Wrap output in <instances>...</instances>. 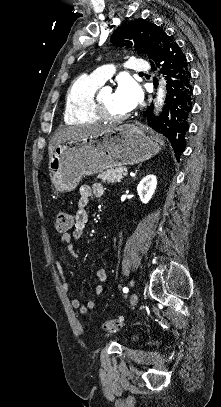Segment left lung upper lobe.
I'll use <instances>...</instances> for the list:
<instances>
[{
	"label": "left lung upper lobe",
	"mask_w": 221,
	"mask_h": 407,
	"mask_svg": "<svg viewBox=\"0 0 221 407\" xmlns=\"http://www.w3.org/2000/svg\"><path fill=\"white\" fill-rule=\"evenodd\" d=\"M165 36L168 35L157 25L143 19H135L118 27L111 41L116 46L125 44L130 47L134 43L137 51L148 54L150 59L157 61Z\"/></svg>",
	"instance_id": "left-lung-upper-lobe-1"
}]
</instances>
